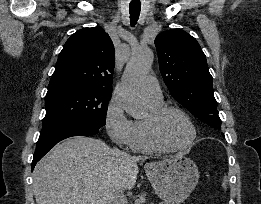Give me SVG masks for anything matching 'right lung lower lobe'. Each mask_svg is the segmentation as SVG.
Masks as SVG:
<instances>
[{
    "label": "right lung lower lobe",
    "instance_id": "98d812e1",
    "mask_svg": "<svg viewBox=\"0 0 261 204\" xmlns=\"http://www.w3.org/2000/svg\"><path fill=\"white\" fill-rule=\"evenodd\" d=\"M101 126L90 122H71L42 128L32 161V170L36 163L58 142L72 136H92Z\"/></svg>",
    "mask_w": 261,
    "mask_h": 204
}]
</instances>
